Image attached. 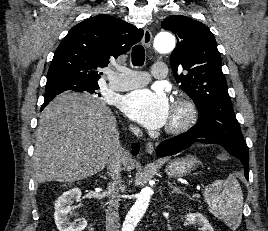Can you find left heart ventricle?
Masks as SVG:
<instances>
[{
  "mask_svg": "<svg viewBox=\"0 0 268 231\" xmlns=\"http://www.w3.org/2000/svg\"><path fill=\"white\" fill-rule=\"evenodd\" d=\"M179 117H180L179 111L176 109H171L170 116H169L167 123L168 124L173 123V122L177 121L179 119Z\"/></svg>",
  "mask_w": 268,
  "mask_h": 231,
  "instance_id": "b2bd125f",
  "label": "left heart ventricle"
}]
</instances>
